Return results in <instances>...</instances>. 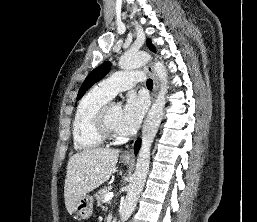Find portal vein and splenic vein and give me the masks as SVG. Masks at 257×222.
Returning a JSON list of instances; mask_svg holds the SVG:
<instances>
[{"mask_svg":"<svg viewBox=\"0 0 257 222\" xmlns=\"http://www.w3.org/2000/svg\"><path fill=\"white\" fill-rule=\"evenodd\" d=\"M113 196H114V193H113V192H109V193L105 196L104 202L110 201V200L113 198Z\"/></svg>","mask_w":257,"mask_h":222,"instance_id":"portal-vein-and-splenic-vein-1","label":"portal vein and splenic vein"}]
</instances>
